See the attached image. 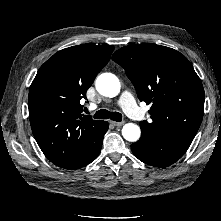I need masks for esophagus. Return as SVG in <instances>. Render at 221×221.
<instances>
[{"instance_id": "1", "label": "esophagus", "mask_w": 221, "mask_h": 221, "mask_svg": "<svg viewBox=\"0 0 221 221\" xmlns=\"http://www.w3.org/2000/svg\"><path fill=\"white\" fill-rule=\"evenodd\" d=\"M114 126H117V127H120V126H122V125H124V121H122V122H115V121H112L111 122Z\"/></svg>"}]
</instances>
